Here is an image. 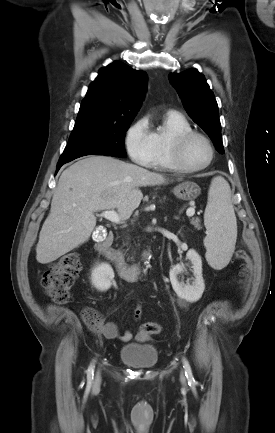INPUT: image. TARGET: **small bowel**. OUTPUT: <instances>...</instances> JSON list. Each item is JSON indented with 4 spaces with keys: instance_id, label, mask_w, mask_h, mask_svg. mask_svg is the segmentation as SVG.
<instances>
[{
    "instance_id": "obj_1",
    "label": "small bowel",
    "mask_w": 275,
    "mask_h": 433,
    "mask_svg": "<svg viewBox=\"0 0 275 433\" xmlns=\"http://www.w3.org/2000/svg\"><path fill=\"white\" fill-rule=\"evenodd\" d=\"M141 307L137 305L133 311V317L135 320H138L141 317ZM103 335L107 339H115L119 338L123 342H128L133 338V334L130 330L125 331L122 335H119L118 326L115 322H107L103 326ZM136 340L145 342L151 340V337L148 334H144L138 331L135 335Z\"/></svg>"
}]
</instances>
